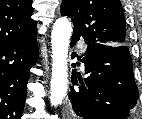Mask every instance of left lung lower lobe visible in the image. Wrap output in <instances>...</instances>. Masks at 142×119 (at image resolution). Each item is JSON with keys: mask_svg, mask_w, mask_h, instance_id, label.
Wrapping results in <instances>:
<instances>
[{"mask_svg": "<svg viewBox=\"0 0 142 119\" xmlns=\"http://www.w3.org/2000/svg\"><path fill=\"white\" fill-rule=\"evenodd\" d=\"M72 35L71 47L79 40ZM82 79L72 71L69 100L76 116L82 119H125L137 103L139 94L133 76L129 49L125 45L87 44ZM79 65V63H77ZM75 64H72L74 67Z\"/></svg>", "mask_w": 142, "mask_h": 119, "instance_id": "1", "label": "left lung lower lobe"}]
</instances>
